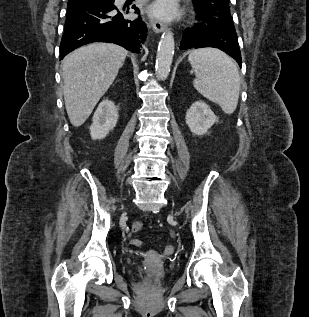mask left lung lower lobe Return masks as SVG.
<instances>
[{"mask_svg": "<svg viewBox=\"0 0 309 317\" xmlns=\"http://www.w3.org/2000/svg\"><path fill=\"white\" fill-rule=\"evenodd\" d=\"M199 20L204 23L197 24L184 30L180 49L215 47L229 54L238 64L242 65V58L235 28L219 26L210 18L197 13Z\"/></svg>", "mask_w": 309, "mask_h": 317, "instance_id": "left-lung-lower-lobe-1", "label": "left lung lower lobe"}]
</instances>
